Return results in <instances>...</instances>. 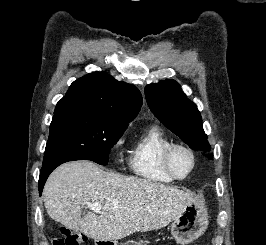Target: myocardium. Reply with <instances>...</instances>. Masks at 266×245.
Returning <instances> with one entry per match:
<instances>
[{
  "mask_svg": "<svg viewBox=\"0 0 266 245\" xmlns=\"http://www.w3.org/2000/svg\"><path fill=\"white\" fill-rule=\"evenodd\" d=\"M176 150H184L192 158V167H191L190 171L183 177H180L175 173L173 165H172V156ZM162 162H163V166H164L165 171L174 180L181 181V180L188 179L194 173V171L197 167V155L191 147H189L185 144H182V143L173 142L164 149L163 154H162Z\"/></svg>",
  "mask_w": 266,
  "mask_h": 245,
  "instance_id": "myocardium-1",
  "label": "myocardium"
}]
</instances>
